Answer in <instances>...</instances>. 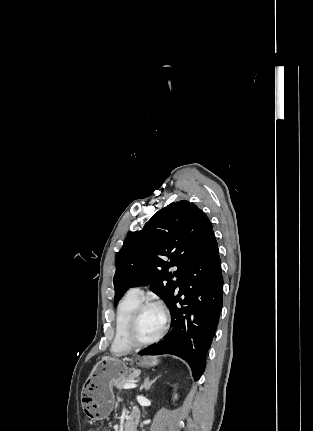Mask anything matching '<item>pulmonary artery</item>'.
Listing matches in <instances>:
<instances>
[{"label":"pulmonary artery","instance_id":"e3ab8cb5","mask_svg":"<svg viewBox=\"0 0 313 431\" xmlns=\"http://www.w3.org/2000/svg\"><path fill=\"white\" fill-rule=\"evenodd\" d=\"M128 294L142 299L144 291L141 287H133L128 290Z\"/></svg>","mask_w":313,"mask_h":431}]
</instances>
